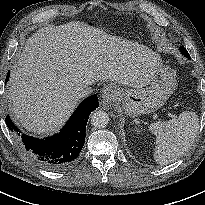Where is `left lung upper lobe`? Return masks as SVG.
I'll use <instances>...</instances> for the list:
<instances>
[{
  "label": "left lung upper lobe",
  "instance_id": "left-lung-upper-lobe-1",
  "mask_svg": "<svg viewBox=\"0 0 205 205\" xmlns=\"http://www.w3.org/2000/svg\"><path fill=\"white\" fill-rule=\"evenodd\" d=\"M180 51L182 52V54L187 57V58H190V55L189 53L187 52V50L184 48V46H181L180 47Z\"/></svg>",
  "mask_w": 205,
  "mask_h": 205
}]
</instances>
